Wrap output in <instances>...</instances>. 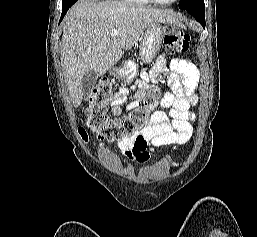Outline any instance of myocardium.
<instances>
[{"label": "myocardium", "mask_w": 257, "mask_h": 237, "mask_svg": "<svg viewBox=\"0 0 257 237\" xmlns=\"http://www.w3.org/2000/svg\"><path fill=\"white\" fill-rule=\"evenodd\" d=\"M155 4L162 5V6H168L175 4L178 0H171V1H161V0H149Z\"/></svg>", "instance_id": "f54148a6"}]
</instances>
